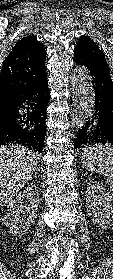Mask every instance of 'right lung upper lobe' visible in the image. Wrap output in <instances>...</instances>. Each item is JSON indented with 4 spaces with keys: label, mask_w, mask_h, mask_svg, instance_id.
<instances>
[{
    "label": "right lung upper lobe",
    "mask_w": 113,
    "mask_h": 279,
    "mask_svg": "<svg viewBox=\"0 0 113 279\" xmlns=\"http://www.w3.org/2000/svg\"><path fill=\"white\" fill-rule=\"evenodd\" d=\"M46 50L33 35L19 40L5 58L0 74V110L13 106L46 73Z\"/></svg>",
    "instance_id": "1"
}]
</instances>
